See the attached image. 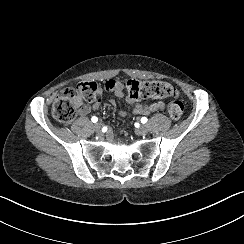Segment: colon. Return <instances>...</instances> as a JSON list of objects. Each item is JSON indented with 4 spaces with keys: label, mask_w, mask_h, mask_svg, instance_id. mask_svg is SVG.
Returning a JSON list of instances; mask_svg holds the SVG:
<instances>
[{
    "label": "colon",
    "mask_w": 244,
    "mask_h": 244,
    "mask_svg": "<svg viewBox=\"0 0 244 244\" xmlns=\"http://www.w3.org/2000/svg\"><path fill=\"white\" fill-rule=\"evenodd\" d=\"M104 86L95 81L81 82L75 87L62 90L52 107L54 117L60 122L71 121L78 104L81 101L99 102ZM127 93L132 100L150 98H177L178 91L170 83L161 80L140 81L130 80L127 83ZM168 115L173 120H178L183 114V104L180 101L169 103Z\"/></svg>",
    "instance_id": "1"
}]
</instances>
